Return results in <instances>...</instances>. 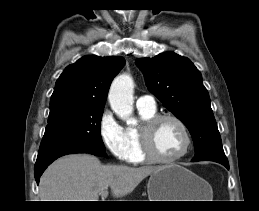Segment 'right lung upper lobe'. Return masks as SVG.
Here are the masks:
<instances>
[{
    "label": "right lung upper lobe",
    "instance_id": "1",
    "mask_svg": "<svg viewBox=\"0 0 259 211\" xmlns=\"http://www.w3.org/2000/svg\"><path fill=\"white\" fill-rule=\"evenodd\" d=\"M125 59L88 55L69 65L58 78L49 118L72 109H104L108 90Z\"/></svg>",
    "mask_w": 259,
    "mask_h": 211
}]
</instances>
